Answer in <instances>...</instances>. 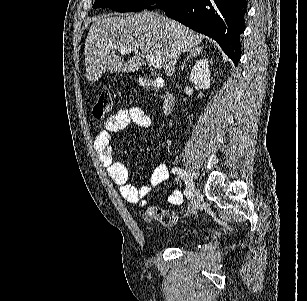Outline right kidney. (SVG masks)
<instances>
[{"label":"right kidney","instance_id":"1","mask_svg":"<svg viewBox=\"0 0 307 301\" xmlns=\"http://www.w3.org/2000/svg\"><path fill=\"white\" fill-rule=\"evenodd\" d=\"M189 78L191 82H194L198 88H210L211 86V74L209 70L208 58H201L195 62Z\"/></svg>","mask_w":307,"mask_h":301}]
</instances>
